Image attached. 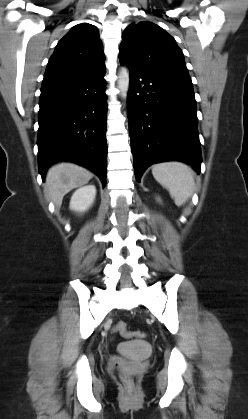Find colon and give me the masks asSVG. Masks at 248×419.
Wrapping results in <instances>:
<instances>
[{
    "mask_svg": "<svg viewBox=\"0 0 248 419\" xmlns=\"http://www.w3.org/2000/svg\"><path fill=\"white\" fill-rule=\"evenodd\" d=\"M115 331L127 338H144L145 333L141 331H129L127 329V324L125 322H120L115 326ZM122 379L124 382L130 386L132 384V379L129 375L122 373L121 374Z\"/></svg>",
    "mask_w": 248,
    "mask_h": 419,
    "instance_id": "obj_1",
    "label": "colon"
}]
</instances>
